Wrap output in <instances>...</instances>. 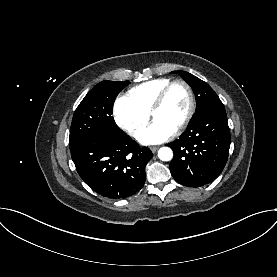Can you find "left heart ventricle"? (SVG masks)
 <instances>
[{
	"label": "left heart ventricle",
	"mask_w": 277,
	"mask_h": 277,
	"mask_svg": "<svg viewBox=\"0 0 277 277\" xmlns=\"http://www.w3.org/2000/svg\"><path fill=\"white\" fill-rule=\"evenodd\" d=\"M189 108V96L181 85L174 86L163 106L153 115L154 120H161L175 129L185 118Z\"/></svg>",
	"instance_id": "left-heart-ventricle-1"
}]
</instances>
